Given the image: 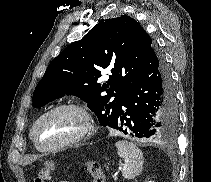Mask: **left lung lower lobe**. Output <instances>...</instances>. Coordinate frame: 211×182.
<instances>
[{"instance_id": "0a47b994", "label": "left lung lower lobe", "mask_w": 211, "mask_h": 182, "mask_svg": "<svg viewBox=\"0 0 211 182\" xmlns=\"http://www.w3.org/2000/svg\"><path fill=\"white\" fill-rule=\"evenodd\" d=\"M177 121L172 77L164 56L153 46L125 91L115 129L147 140L160 134L173 133Z\"/></svg>"}]
</instances>
